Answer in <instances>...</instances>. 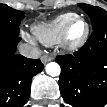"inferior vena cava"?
I'll list each match as a JSON object with an SVG mask.
<instances>
[{"label": "inferior vena cava", "instance_id": "inferior-vena-cava-1", "mask_svg": "<svg viewBox=\"0 0 107 107\" xmlns=\"http://www.w3.org/2000/svg\"><path fill=\"white\" fill-rule=\"evenodd\" d=\"M18 50L21 55L27 58L38 59L41 55L37 48L25 43L20 44Z\"/></svg>", "mask_w": 107, "mask_h": 107}]
</instances>
